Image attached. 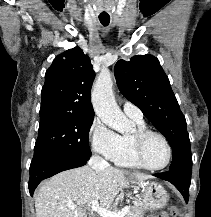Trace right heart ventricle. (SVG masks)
I'll list each match as a JSON object with an SVG mask.
<instances>
[{"label": "right heart ventricle", "mask_w": 211, "mask_h": 217, "mask_svg": "<svg viewBox=\"0 0 211 217\" xmlns=\"http://www.w3.org/2000/svg\"><path fill=\"white\" fill-rule=\"evenodd\" d=\"M131 119L136 124V131L147 129L143 119ZM132 135L119 136V147L112 161L121 167L141 168V165L136 160L133 152Z\"/></svg>", "instance_id": "right-heart-ventricle-1"}]
</instances>
